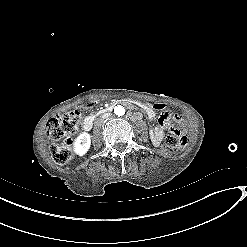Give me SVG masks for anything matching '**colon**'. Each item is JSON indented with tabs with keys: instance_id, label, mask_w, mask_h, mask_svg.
I'll return each instance as SVG.
<instances>
[{
	"instance_id": "colon-1",
	"label": "colon",
	"mask_w": 247,
	"mask_h": 247,
	"mask_svg": "<svg viewBox=\"0 0 247 247\" xmlns=\"http://www.w3.org/2000/svg\"><path fill=\"white\" fill-rule=\"evenodd\" d=\"M154 110L163 112L166 106L163 101L153 102ZM81 122L79 111H73L53 117L47 125V135L53 142L50 151L54 161L59 165L68 163L72 158L71 134L78 128ZM187 129L184 125L171 127V132L165 137V145L169 150H175L187 145Z\"/></svg>"
}]
</instances>
